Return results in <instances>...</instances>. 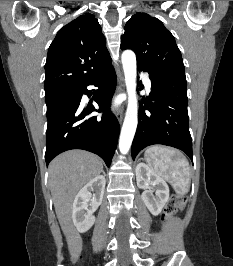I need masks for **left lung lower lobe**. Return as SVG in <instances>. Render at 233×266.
<instances>
[{
	"instance_id": "1",
	"label": "left lung lower lobe",
	"mask_w": 233,
	"mask_h": 266,
	"mask_svg": "<svg viewBox=\"0 0 233 266\" xmlns=\"http://www.w3.org/2000/svg\"><path fill=\"white\" fill-rule=\"evenodd\" d=\"M140 71H146L138 67ZM151 93L142 97L137 131L132 143V158L154 144L172 146L184 151L193 161L189 132L186 77L179 73H149Z\"/></svg>"
}]
</instances>
